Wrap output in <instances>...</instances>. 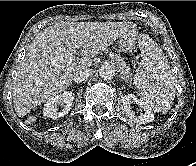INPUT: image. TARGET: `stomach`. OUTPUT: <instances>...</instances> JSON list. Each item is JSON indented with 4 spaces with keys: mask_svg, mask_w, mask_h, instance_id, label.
<instances>
[{
    "mask_svg": "<svg viewBox=\"0 0 196 166\" xmlns=\"http://www.w3.org/2000/svg\"><path fill=\"white\" fill-rule=\"evenodd\" d=\"M138 38L137 32L129 31L119 37L118 46L122 52H131L135 48L136 40Z\"/></svg>",
    "mask_w": 196,
    "mask_h": 166,
    "instance_id": "1",
    "label": "stomach"
}]
</instances>
